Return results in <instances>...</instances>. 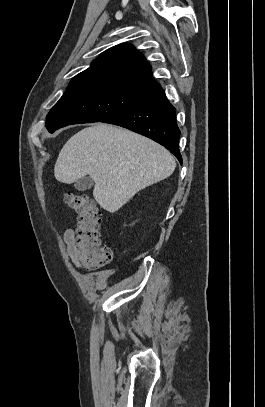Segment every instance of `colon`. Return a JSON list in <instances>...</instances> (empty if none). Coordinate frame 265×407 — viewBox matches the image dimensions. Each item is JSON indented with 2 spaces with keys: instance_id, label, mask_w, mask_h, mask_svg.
I'll list each match as a JSON object with an SVG mask.
<instances>
[{
  "instance_id": "5ec220e1",
  "label": "colon",
  "mask_w": 265,
  "mask_h": 407,
  "mask_svg": "<svg viewBox=\"0 0 265 407\" xmlns=\"http://www.w3.org/2000/svg\"><path fill=\"white\" fill-rule=\"evenodd\" d=\"M63 200L78 214L76 261L89 270L108 266L113 260V250L101 242V213L94 201L80 192H66Z\"/></svg>"
}]
</instances>
